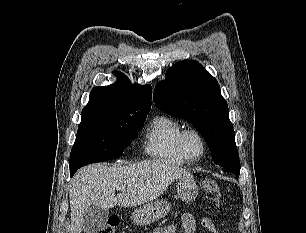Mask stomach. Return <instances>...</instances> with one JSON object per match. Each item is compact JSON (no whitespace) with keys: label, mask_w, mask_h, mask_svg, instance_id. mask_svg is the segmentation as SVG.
<instances>
[{"label":"stomach","mask_w":306,"mask_h":233,"mask_svg":"<svg viewBox=\"0 0 306 233\" xmlns=\"http://www.w3.org/2000/svg\"><path fill=\"white\" fill-rule=\"evenodd\" d=\"M176 190L182 201H192L198 195V187L193 177L179 179ZM170 208L171 204L167 200H157L139 207L131 217L137 225H148L166 216Z\"/></svg>","instance_id":"stomach-1"}]
</instances>
